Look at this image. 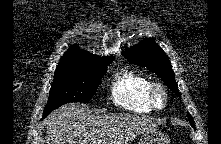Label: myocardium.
<instances>
[{"label": "myocardium", "instance_id": "f54148a6", "mask_svg": "<svg viewBox=\"0 0 221 144\" xmlns=\"http://www.w3.org/2000/svg\"><path fill=\"white\" fill-rule=\"evenodd\" d=\"M149 102L153 109L161 110L166 107L168 102L167 90L163 84L159 82L151 83L149 88ZM159 98L161 102H159Z\"/></svg>", "mask_w": 221, "mask_h": 144}]
</instances>
